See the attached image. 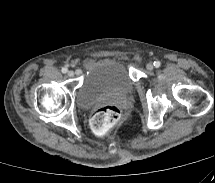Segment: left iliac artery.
Wrapping results in <instances>:
<instances>
[{
	"mask_svg": "<svg viewBox=\"0 0 215 183\" xmlns=\"http://www.w3.org/2000/svg\"><path fill=\"white\" fill-rule=\"evenodd\" d=\"M160 65H161V63H160L159 61H155V62H154V66H155L156 68H159Z\"/></svg>",
	"mask_w": 215,
	"mask_h": 183,
	"instance_id": "obj_1",
	"label": "left iliac artery"
}]
</instances>
